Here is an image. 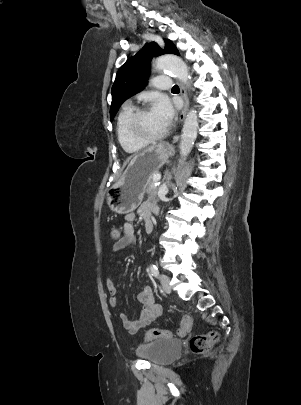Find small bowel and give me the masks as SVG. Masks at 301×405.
<instances>
[{
  "instance_id": "1",
  "label": "small bowel",
  "mask_w": 301,
  "mask_h": 405,
  "mask_svg": "<svg viewBox=\"0 0 301 405\" xmlns=\"http://www.w3.org/2000/svg\"><path fill=\"white\" fill-rule=\"evenodd\" d=\"M156 212L157 207L150 201L143 202L138 210L139 215L142 216L145 221L151 219ZM136 217L137 215L134 212L126 214L123 230H119V235L115 238V243L112 247V254H117L124 248L135 244L136 237L133 223L136 220ZM106 288L110 295L109 302L111 306L117 307V288L111 278H107ZM138 300L142 305V311L137 319L132 320L126 314H120V319L124 327L130 333H136L141 328L148 326L161 314L162 311L161 306L156 302L154 293L149 286L141 289L138 294Z\"/></svg>"
}]
</instances>
